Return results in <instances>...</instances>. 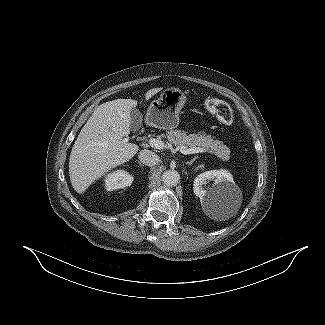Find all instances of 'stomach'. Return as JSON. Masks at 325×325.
<instances>
[{
    "label": "stomach",
    "instance_id": "1",
    "mask_svg": "<svg viewBox=\"0 0 325 325\" xmlns=\"http://www.w3.org/2000/svg\"><path fill=\"white\" fill-rule=\"evenodd\" d=\"M186 100L185 93L179 88L165 89L158 99L151 102L146 113L147 124L163 130L177 127L179 112Z\"/></svg>",
    "mask_w": 325,
    "mask_h": 325
}]
</instances>
